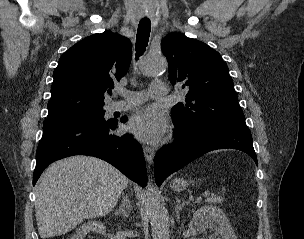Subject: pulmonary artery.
I'll return each instance as SVG.
<instances>
[{
  "label": "pulmonary artery",
  "instance_id": "e3ab8cb5",
  "mask_svg": "<svg viewBox=\"0 0 304 239\" xmlns=\"http://www.w3.org/2000/svg\"><path fill=\"white\" fill-rule=\"evenodd\" d=\"M123 95V100L114 101L110 104V110L113 112L123 111L138 106L150 98H161L168 93V87L165 82H154L148 91H123L118 90Z\"/></svg>",
  "mask_w": 304,
  "mask_h": 239
}]
</instances>
